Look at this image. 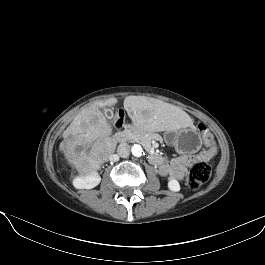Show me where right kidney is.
I'll return each instance as SVG.
<instances>
[{
	"label": "right kidney",
	"mask_w": 265,
	"mask_h": 265,
	"mask_svg": "<svg viewBox=\"0 0 265 265\" xmlns=\"http://www.w3.org/2000/svg\"><path fill=\"white\" fill-rule=\"evenodd\" d=\"M101 181V177L97 172H92L85 176H78L73 180V185L76 189H92Z\"/></svg>",
	"instance_id": "ca27d5eb"
}]
</instances>
